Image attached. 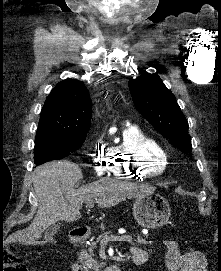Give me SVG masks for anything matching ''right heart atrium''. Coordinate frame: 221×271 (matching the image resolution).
Returning <instances> with one entry per match:
<instances>
[{
  "instance_id": "d8ad5b80",
  "label": "right heart atrium",
  "mask_w": 221,
  "mask_h": 271,
  "mask_svg": "<svg viewBox=\"0 0 221 271\" xmlns=\"http://www.w3.org/2000/svg\"><path fill=\"white\" fill-rule=\"evenodd\" d=\"M95 157H91V162H93L92 170H98L96 172V177H106V173H114V171H109V166H111V161H116L113 151H96Z\"/></svg>"
}]
</instances>
